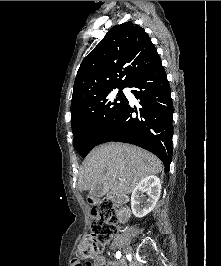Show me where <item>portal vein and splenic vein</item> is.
<instances>
[{
    "mask_svg": "<svg viewBox=\"0 0 221 266\" xmlns=\"http://www.w3.org/2000/svg\"><path fill=\"white\" fill-rule=\"evenodd\" d=\"M113 177H116V176H114V175H113ZM120 181H125V180H123V179H120Z\"/></svg>",
    "mask_w": 221,
    "mask_h": 266,
    "instance_id": "18ae733b",
    "label": "portal vein and splenic vein"
}]
</instances>
